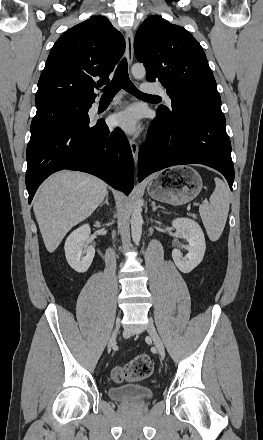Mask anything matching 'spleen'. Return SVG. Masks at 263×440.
<instances>
[{"instance_id":"1","label":"spleen","mask_w":263,"mask_h":440,"mask_svg":"<svg viewBox=\"0 0 263 440\" xmlns=\"http://www.w3.org/2000/svg\"><path fill=\"white\" fill-rule=\"evenodd\" d=\"M215 190L209 203L200 205L199 213L211 241H217L226 224L230 205V190L219 178L215 177Z\"/></svg>"}]
</instances>
